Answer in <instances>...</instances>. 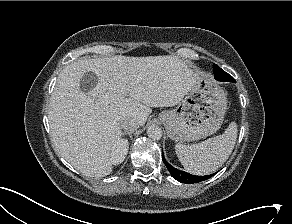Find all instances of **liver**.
<instances>
[{"mask_svg":"<svg viewBox=\"0 0 292 224\" xmlns=\"http://www.w3.org/2000/svg\"><path fill=\"white\" fill-rule=\"evenodd\" d=\"M88 72L98 78L80 89ZM199 73L174 55L80 59L59 74L48 118L59 154L86 176L112 172L110 153L121 140L120 119L144 125L151 107H172L191 90Z\"/></svg>","mask_w":292,"mask_h":224,"instance_id":"liver-1","label":"liver"}]
</instances>
